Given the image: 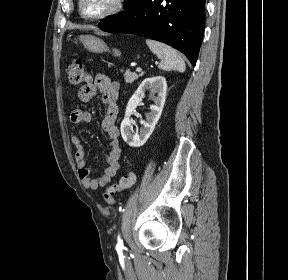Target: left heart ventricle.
Returning a JSON list of instances; mask_svg holds the SVG:
<instances>
[{"label":"left heart ventricle","instance_id":"left-heart-ventricle-1","mask_svg":"<svg viewBox=\"0 0 288 280\" xmlns=\"http://www.w3.org/2000/svg\"><path fill=\"white\" fill-rule=\"evenodd\" d=\"M112 0H86L84 11L88 15L98 14L111 5Z\"/></svg>","mask_w":288,"mask_h":280}]
</instances>
